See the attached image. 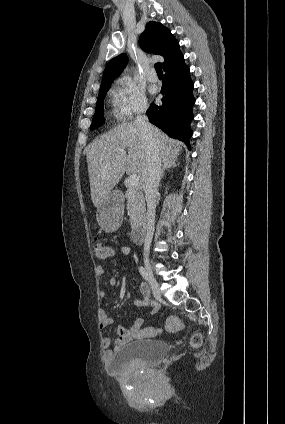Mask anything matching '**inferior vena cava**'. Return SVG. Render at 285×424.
<instances>
[{"instance_id": "obj_1", "label": "inferior vena cava", "mask_w": 285, "mask_h": 424, "mask_svg": "<svg viewBox=\"0 0 285 424\" xmlns=\"http://www.w3.org/2000/svg\"><path fill=\"white\" fill-rule=\"evenodd\" d=\"M147 107L143 106L137 115L134 123L140 128L146 152L147 169L144 175L143 190L147 203L146 215V236L144 241V256L147 258L149 248L153 239L155 210H156V194L161 179V156L157 141L154 137L152 127L148 122V118L144 113Z\"/></svg>"}]
</instances>
